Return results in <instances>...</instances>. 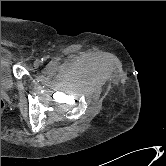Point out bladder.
I'll use <instances>...</instances> for the list:
<instances>
[{"mask_svg":"<svg viewBox=\"0 0 166 166\" xmlns=\"http://www.w3.org/2000/svg\"><path fill=\"white\" fill-rule=\"evenodd\" d=\"M12 69V51L7 46L1 45V92L11 90L15 84Z\"/></svg>","mask_w":166,"mask_h":166,"instance_id":"31cf9c89","label":"bladder"}]
</instances>
